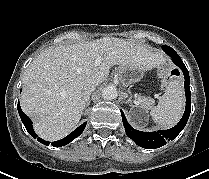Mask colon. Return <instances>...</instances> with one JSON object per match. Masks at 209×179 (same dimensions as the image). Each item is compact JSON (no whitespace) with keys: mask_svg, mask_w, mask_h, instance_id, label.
Segmentation results:
<instances>
[{"mask_svg":"<svg viewBox=\"0 0 209 179\" xmlns=\"http://www.w3.org/2000/svg\"><path fill=\"white\" fill-rule=\"evenodd\" d=\"M179 73L180 72L178 69L171 70L166 76L167 81H170V80L176 78L179 75Z\"/></svg>","mask_w":209,"mask_h":179,"instance_id":"1","label":"colon"}]
</instances>
